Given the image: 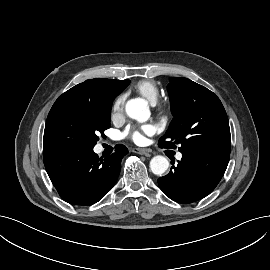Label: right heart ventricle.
<instances>
[{
	"mask_svg": "<svg viewBox=\"0 0 270 270\" xmlns=\"http://www.w3.org/2000/svg\"><path fill=\"white\" fill-rule=\"evenodd\" d=\"M134 89L151 104H155L160 96V89L153 80H140L136 83Z\"/></svg>",
	"mask_w": 270,
	"mask_h": 270,
	"instance_id": "1",
	"label": "right heart ventricle"
}]
</instances>
